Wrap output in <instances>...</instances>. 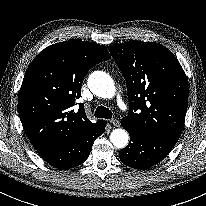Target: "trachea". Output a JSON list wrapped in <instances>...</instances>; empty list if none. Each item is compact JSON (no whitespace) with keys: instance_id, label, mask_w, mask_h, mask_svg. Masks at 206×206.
<instances>
[{"instance_id":"1","label":"trachea","mask_w":206,"mask_h":206,"mask_svg":"<svg viewBox=\"0 0 206 206\" xmlns=\"http://www.w3.org/2000/svg\"><path fill=\"white\" fill-rule=\"evenodd\" d=\"M94 116L97 118H105V119H111L112 118V112L108 108L104 106L97 107Z\"/></svg>"}]
</instances>
